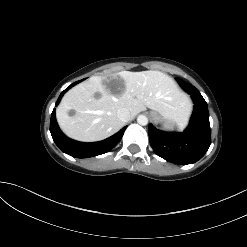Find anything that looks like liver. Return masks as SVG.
<instances>
[{
    "label": "liver",
    "instance_id": "6515ba94",
    "mask_svg": "<svg viewBox=\"0 0 247 247\" xmlns=\"http://www.w3.org/2000/svg\"><path fill=\"white\" fill-rule=\"evenodd\" d=\"M113 82L120 86L111 88L109 84ZM96 93L100 94L98 98ZM146 107L185 127L191 102L175 81L160 71H121L92 76L70 89L56 109V118L68 137L93 142L106 139L123 127L124 122L117 117L119 109H128L133 118ZM70 110H75L74 116L68 115Z\"/></svg>",
    "mask_w": 247,
    "mask_h": 247
}]
</instances>
